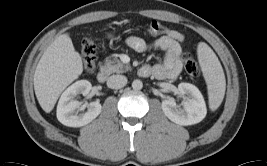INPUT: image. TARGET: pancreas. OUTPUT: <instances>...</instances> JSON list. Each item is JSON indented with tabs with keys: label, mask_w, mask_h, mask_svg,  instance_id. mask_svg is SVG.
I'll list each match as a JSON object with an SVG mask.
<instances>
[{
	"label": "pancreas",
	"mask_w": 267,
	"mask_h": 166,
	"mask_svg": "<svg viewBox=\"0 0 267 166\" xmlns=\"http://www.w3.org/2000/svg\"><path fill=\"white\" fill-rule=\"evenodd\" d=\"M101 69L106 74L112 73H124L126 71L131 70L129 65L123 64L117 57H108L105 60V64L101 67Z\"/></svg>",
	"instance_id": "pancreas-1"
}]
</instances>
